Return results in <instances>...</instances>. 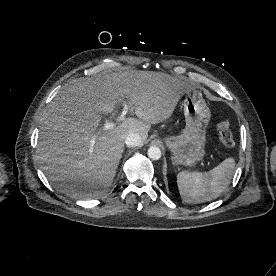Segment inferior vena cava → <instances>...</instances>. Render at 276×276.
I'll use <instances>...</instances> for the list:
<instances>
[{
    "instance_id": "inferior-vena-cava-1",
    "label": "inferior vena cava",
    "mask_w": 276,
    "mask_h": 276,
    "mask_svg": "<svg viewBox=\"0 0 276 276\" xmlns=\"http://www.w3.org/2000/svg\"><path fill=\"white\" fill-rule=\"evenodd\" d=\"M125 143L128 147H136L141 144V136L138 133H130L126 137Z\"/></svg>"
}]
</instances>
